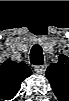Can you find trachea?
Masks as SVG:
<instances>
[{"mask_svg": "<svg viewBox=\"0 0 69 101\" xmlns=\"http://www.w3.org/2000/svg\"><path fill=\"white\" fill-rule=\"evenodd\" d=\"M30 63L37 66L44 63L43 49L38 44L33 45L30 51Z\"/></svg>", "mask_w": 69, "mask_h": 101, "instance_id": "3493384b", "label": "trachea"}]
</instances>
